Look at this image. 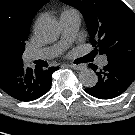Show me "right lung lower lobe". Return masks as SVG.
Returning a JSON list of instances; mask_svg holds the SVG:
<instances>
[{"mask_svg":"<svg viewBox=\"0 0 135 135\" xmlns=\"http://www.w3.org/2000/svg\"><path fill=\"white\" fill-rule=\"evenodd\" d=\"M58 69H32L24 66L23 62H0V88L17 100L32 101L50 90L52 74Z\"/></svg>","mask_w":135,"mask_h":135,"instance_id":"right-lung-lower-lobe-1","label":"right lung lower lobe"}]
</instances>
